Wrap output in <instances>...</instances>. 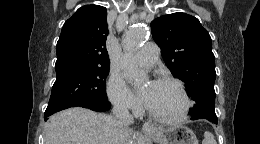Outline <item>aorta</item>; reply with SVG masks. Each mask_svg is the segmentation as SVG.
<instances>
[{
    "label": "aorta",
    "instance_id": "aorta-1",
    "mask_svg": "<svg viewBox=\"0 0 260 144\" xmlns=\"http://www.w3.org/2000/svg\"><path fill=\"white\" fill-rule=\"evenodd\" d=\"M146 36L147 31L145 28L136 25L129 28L122 38L124 54L120 61L121 68L127 78L138 84L142 83L145 78V73L138 69L134 55L140 45L146 40Z\"/></svg>",
    "mask_w": 260,
    "mask_h": 144
}]
</instances>
